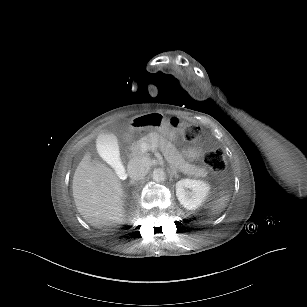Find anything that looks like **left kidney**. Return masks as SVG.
<instances>
[{
    "label": "left kidney",
    "instance_id": "1",
    "mask_svg": "<svg viewBox=\"0 0 307 307\" xmlns=\"http://www.w3.org/2000/svg\"><path fill=\"white\" fill-rule=\"evenodd\" d=\"M175 189L179 203L187 210H195L205 200L210 187L200 180L182 179Z\"/></svg>",
    "mask_w": 307,
    "mask_h": 307
}]
</instances>
